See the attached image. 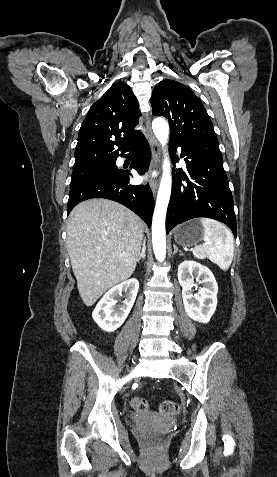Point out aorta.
<instances>
[{
  "label": "aorta",
  "mask_w": 277,
  "mask_h": 477,
  "mask_svg": "<svg viewBox=\"0 0 277 477\" xmlns=\"http://www.w3.org/2000/svg\"><path fill=\"white\" fill-rule=\"evenodd\" d=\"M152 129L162 147H164L169 138L168 123L163 118H156L152 122ZM170 170V160L168 153H166L163 161V174L152 219L153 250L158 261H163L166 256L165 219L171 195L172 178Z\"/></svg>",
  "instance_id": "1"
}]
</instances>
